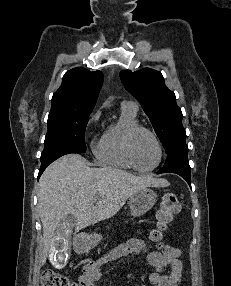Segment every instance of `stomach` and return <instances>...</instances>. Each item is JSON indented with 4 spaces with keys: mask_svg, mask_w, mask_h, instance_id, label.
I'll use <instances>...</instances> for the list:
<instances>
[{
    "mask_svg": "<svg viewBox=\"0 0 231 286\" xmlns=\"http://www.w3.org/2000/svg\"><path fill=\"white\" fill-rule=\"evenodd\" d=\"M157 195L150 188H143L134 192L129 199L130 212L133 217H140L148 212L156 203ZM101 235L91 234L86 238L80 239L77 249L80 252H87L95 247L100 240Z\"/></svg>",
    "mask_w": 231,
    "mask_h": 286,
    "instance_id": "0dacf381",
    "label": "stomach"
}]
</instances>
